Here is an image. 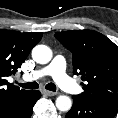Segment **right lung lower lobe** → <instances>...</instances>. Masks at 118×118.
<instances>
[{
	"mask_svg": "<svg viewBox=\"0 0 118 118\" xmlns=\"http://www.w3.org/2000/svg\"><path fill=\"white\" fill-rule=\"evenodd\" d=\"M40 97L41 93L39 91H34L33 96L25 105L14 111L6 118H30L33 112V107Z\"/></svg>",
	"mask_w": 118,
	"mask_h": 118,
	"instance_id": "98d812e1",
	"label": "right lung lower lobe"
}]
</instances>
